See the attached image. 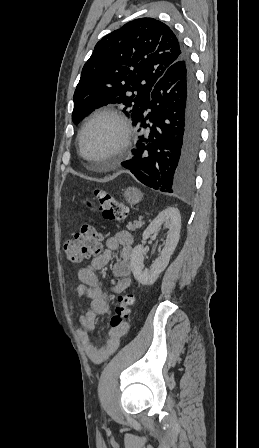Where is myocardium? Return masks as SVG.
Segmentation results:
<instances>
[{
  "label": "myocardium",
  "mask_w": 259,
  "mask_h": 448,
  "mask_svg": "<svg viewBox=\"0 0 259 448\" xmlns=\"http://www.w3.org/2000/svg\"><path fill=\"white\" fill-rule=\"evenodd\" d=\"M101 119H110L118 125V137L109 148L108 154L109 159H111L114 163H117L119 157L122 155L123 150L128 144L130 137V124L127 117L122 112L115 109L100 110L91 115L86 120L78 135L77 153L82 158V138L84 136V133L93 122Z\"/></svg>",
  "instance_id": "1"
}]
</instances>
